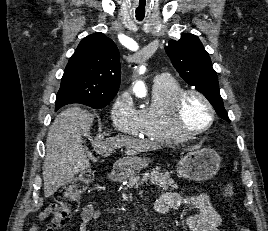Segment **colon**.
I'll return each mask as SVG.
<instances>
[{"label":"colon","instance_id":"obj_1","mask_svg":"<svg viewBox=\"0 0 268 231\" xmlns=\"http://www.w3.org/2000/svg\"><path fill=\"white\" fill-rule=\"evenodd\" d=\"M94 174L93 169L82 171L65 186L58 189L42 219H47L45 231H54L57 226L66 224L77 210L81 196L86 192ZM239 231H253L250 224L242 225Z\"/></svg>","mask_w":268,"mask_h":231}]
</instances>
